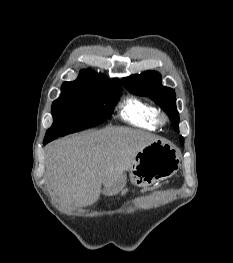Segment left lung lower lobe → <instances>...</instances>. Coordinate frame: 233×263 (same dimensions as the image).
Segmentation results:
<instances>
[{
	"label": "left lung lower lobe",
	"instance_id": "0a47b994",
	"mask_svg": "<svg viewBox=\"0 0 233 263\" xmlns=\"http://www.w3.org/2000/svg\"><path fill=\"white\" fill-rule=\"evenodd\" d=\"M181 143L183 144V138L180 137Z\"/></svg>",
	"mask_w": 233,
	"mask_h": 263
}]
</instances>
